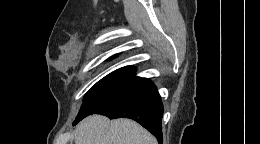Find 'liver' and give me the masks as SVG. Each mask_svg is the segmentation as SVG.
Returning a JSON list of instances; mask_svg holds the SVG:
<instances>
[{"mask_svg":"<svg viewBox=\"0 0 260 144\" xmlns=\"http://www.w3.org/2000/svg\"><path fill=\"white\" fill-rule=\"evenodd\" d=\"M75 144H157V140L130 119L110 121L105 116L91 115L79 123Z\"/></svg>","mask_w":260,"mask_h":144,"instance_id":"liver-1","label":"liver"}]
</instances>
